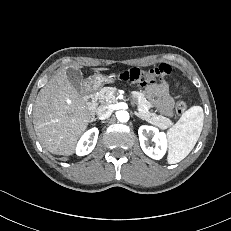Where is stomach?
Listing matches in <instances>:
<instances>
[{
    "mask_svg": "<svg viewBox=\"0 0 231 231\" xmlns=\"http://www.w3.org/2000/svg\"><path fill=\"white\" fill-rule=\"evenodd\" d=\"M113 81L114 80L110 76H105L103 74L97 73V74L90 76L86 80V84L88 87L98 88L105 83H112Z\"/></svg>",
    "mask_w": 231,
    "mask_h": 231,
    "instance_id": "obj_1",
    "label": "stomach"
}]
</instances>
